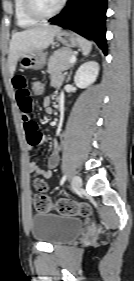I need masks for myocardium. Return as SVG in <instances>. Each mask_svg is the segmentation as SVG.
I'll use <instances>...</instances> for the list:
<instances>
[{
    "label": "myocardium",
    "mask_w": 134,
    "mask_h": 281,
    "mask_svg": "<svg viewBox=\"0 0 134 281\" xmlns=\"http://www.w3.org/2000/svg\"><path fill=\"white\" fill-rule=\"evenodd\" d=\"M67 0H61L58 6L51 12H43L39 9L36 0H24L26 12L36 20L50 19L56 16L65 6Z\"/></svg>",
    "instance_id": "myocardium-1"
}]
</instances>
